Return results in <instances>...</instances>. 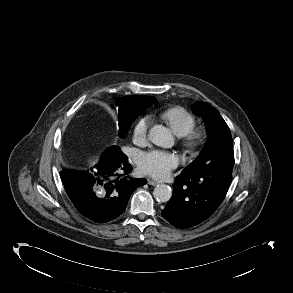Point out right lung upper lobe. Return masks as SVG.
I'll return each instance as SVG.
<instances>
[{"label":"right lung upper lobe","mask_w":293,"mask_h":293,"mask_svg":"<svg viewBox=\"0 0 293 293\" xmlns=\"http://www.w3.org/2000/svg\"><path fill=\"white\" fill-rule=\"evenodd\" d=\"M156 101L155 97L150 96H124L117 100L119 120L130 113L144 111L146 107L150 106Z\"/></svg>","instance_id":"obj_1"}]
</instances>
